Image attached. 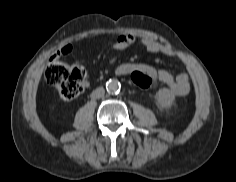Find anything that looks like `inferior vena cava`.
<instances>
[{"mask_svg": "<svg viewBox=\"0 0 236 182\" xmlns=\"http://www.w3.org/2000/svg\"><path fill=\"white\" fill-rule=\"evenodd\" d=\"M104 94H105V89L103 87H99L92 92L91 96L97 99L103 97Z\"/></svg>", "mask_w": 236, "mask_h": 182, "instance_id": "obj_1", "label": "inferior vena cava"}]
</instances>
